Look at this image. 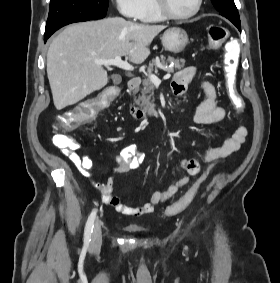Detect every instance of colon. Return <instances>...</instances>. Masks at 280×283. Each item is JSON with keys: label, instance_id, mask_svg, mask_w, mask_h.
I'll return each mask as SVG.
<instances>
[{"label": "colon", "instance_id": "1", "mask_svg": "<svg viewBox=\"0 0 280 283\" xmlns=\"http://www.w3.org/2000/svg\"><path fill=\"white\" fill-rule=\"evenodd\" d=\"M209 45L212 49L218 48L228 37L229 31L222 25H210L207 29ZM239 50L238 43L230 40L225 46V55L223 61L224 81L228 95L238 112L243 111L244 101L236 88V71L238 66ZM104 93L94 100L85 102L75 110H64V114H56V119H62L63 122H57L58 132L53 136L54 144L62 150H70L76 146V140L61 132H76V127L81 124H92V120L98 119V112H104V105L118 93L116 87H105ZM198 180L184 196L166 209V216L173 217L183 212L195 198L199 184Z\"/></svg>", "mask_w": 280, "mask_h": 283}]
</instances>
